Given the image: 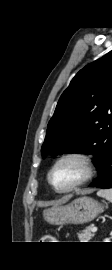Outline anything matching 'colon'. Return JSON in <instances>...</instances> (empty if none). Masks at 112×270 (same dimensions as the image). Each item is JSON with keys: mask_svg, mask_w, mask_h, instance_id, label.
<instances>
[{"mask_svg": "<svg viewBox=\"0 0 112 270\" xmlns=\"http://www.w3.org/2000/svg\"><path fill=\"white\" fill-rule=\"evenodd\" d=\"M44 238H45V239H50V238H51V236H45Z\"/></svg>", "mask_w": 112, "mask_h": 270, "instance_id": "obj_1", "label": "colon"}]
</instances>
